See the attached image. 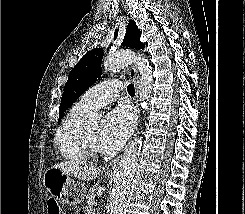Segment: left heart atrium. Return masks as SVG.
Instances as JSON below:
<instances>
[{
    "label": "left heart atrium",
    "mask_w": 245,
    "mask_h": 214,
    "mask_svg": "<svg viewBox=\"0 0 245 214\" xmlns=\"http://www.w3.org/2000/svg\"><path fill=\"white\" fill-rule=\"evenodd\" d=\"M133 126V115L126 107H118L109 113L97 132L98 144L104 152L113 153L128 139Z\"/></svg>",
    "instance_id": "left-heart-atrium-1"
}]
</instances>
